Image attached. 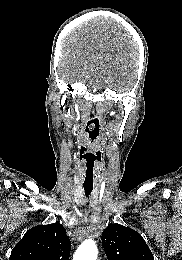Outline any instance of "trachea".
Wrapping results in <instances>:
<instances>
[{
    "label": "trachea",
    "instance_id": "trachea-1",
    "mask_svg": "<svg viewBox=\"0 0 182 260\" xmlns=\"http://www.w3.org/2000/svg\"><path fill=\"white\" fill-rule=\"evenodd\" d=\"M93 190V187H86L84 186L85 195L89 196Z\"/></svg>",
    "mask_w": 182,
    "mask_h": 260
}]
</instances>
